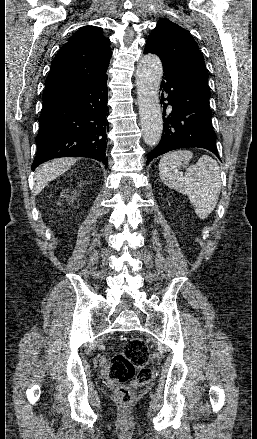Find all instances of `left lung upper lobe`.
<instances>
[{"label":"left lung upper lobe","instance_id":"obj_1","mask_svg":"<svg viewBox=\"0 0 257 439\" xmlns=\"http://www.w3.org/2000/svg\"><path fill=\"white\" fill-rule=\"evenodd\" d=\"M145 50L157 54L164 68L180 73L210 96L203 55L196 41L182 27L161 19L151 32Z\"/></svg>","mask_w":257,"mask_h":439}]
</instances>
